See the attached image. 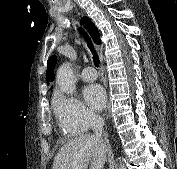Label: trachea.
Instances as JSON below:
<instances>
[{
    "mask_svg": "<svg viewBox=\"0 0 177 169\" xmlns=\"http://www.w3.org/2000/svg\"><path fill=\"white\" fill-rule=\"evenodd\" d=\"M78 30H79V32L82 34V36L85 38V40H86V42H87V45H88L90 51H91L92 54H93V62H94V65H95L96 67H99V59H98L97 53H96V51L94 50V47H93L91 41L88 39V36L86 35V33L84 32V30H83L82 28H79Z\"/></svg>",
    "mask_w": 177,
    "mask_h": 169,
    "instance_id": "trachea-1",
    "label": "trachea"
}]
</instances>
